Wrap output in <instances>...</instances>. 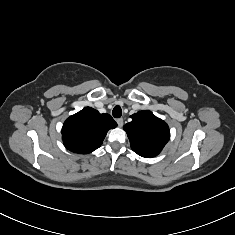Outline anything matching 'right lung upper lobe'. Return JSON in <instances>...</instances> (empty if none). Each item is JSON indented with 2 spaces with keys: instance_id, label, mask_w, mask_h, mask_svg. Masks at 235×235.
Segmentation results:
<instances>
[{
  "instance_id": "right-lung-upper-lobe-1",
  "label": "right lung upper lobe",
  "mask_w": 235,
  "mask_h": 235,
  "mask_svg": "<svg viewBox=\"0 0 235 235\" xmlns=\"http://www.w3.org/2000/svg\"><path fill=\"white\" fill-rule=\"evenodd\" d=\"M116 126L109 114H100L91 107H85L64 122V146L75 153H91L101 146L108 130Z\"/></svg>"
}]
</instances>
